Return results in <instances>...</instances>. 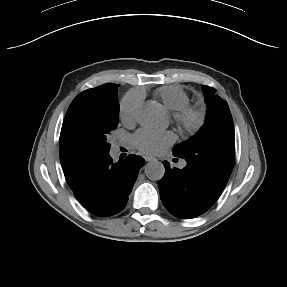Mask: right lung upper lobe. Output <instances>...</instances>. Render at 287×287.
I'll return each instance as SVG.
<instances>
[{"mask_svg": "<svg viewBox=\"0 0 287 287\" xmlns=\"http://www.w3.org/2000/svg\"><path fill=\"white\" fill-rule=\"evenodd\" d=\"M118 86H119V84L107 83V84H103V85L98 86L96 88H91V89H88L85 91H94V90L105 89V88H117ZM62 166H63V168L66 167V165L64 163H62ZM76 174H77V172L73 173V174L66 175V179H67L68 183H70L72 181V179L76 176Z\"/></svg>", "mask_w": 287, "mask_h": 287, "instance_id": "right-lung-upper-lobe-1", "label": "right lung upper lobe"}]
</instances>
